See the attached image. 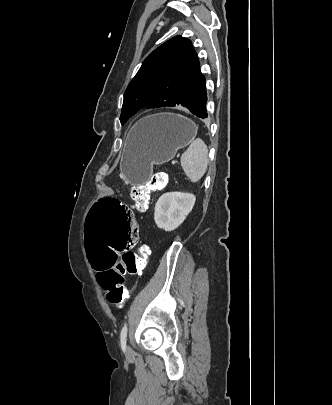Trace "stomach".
Masks as SVG:
<instances>
[{"label": "stomach", "instance_id": "1", "mask_svg": "<svg viewBox=\"0 0 332 405\" xmlns=\"http://www.w3.org/2000/svg\"><path fill=\"white\" fill-rule=\"evenodd\" d=\"M198 127L190 119L161 113L140 119L131 128L120 161V171L132 186L145 184L154 164H164L191 144Z\"/></svg>", "mask_w": 332, "mask_h": 405}]
</instances>
